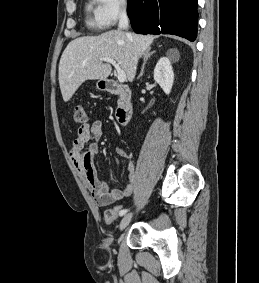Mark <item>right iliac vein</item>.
Wrapping results in <instances>:
<instances>
[{
    "mask_svg": "<svg viewBox=\"0 0 259 283\" xmlns=\"http://www.w3.org/2000/svg\"><path fill=\"white\" fill-rule=\"evenodd\" d=\"M133 217L132 213L126 214L120 221L119 229L122 231L124 230L130 223L131 219Z\"/></svg>",
    "mask_w": 259,
    "mask_h": 283,
    "instance_id": "obj_1",
    "label": "right iliac vein"
}]
</instances>
